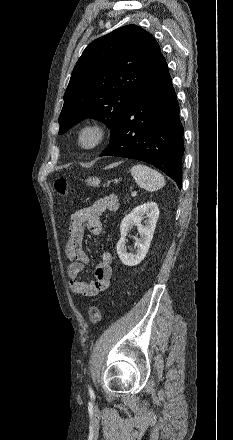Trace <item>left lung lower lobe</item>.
Segmentation results:
<instances>
[{
    "instance_id": "obj_1",
    "label": "left lung lower lobe",
    "mask_w": 233,
    "mask_h": 440,
    "mask_svg": "<svg viewBox=\"0 0 233 440\" xmlns=\"http://www.w3.org/2000/svg\"><path fill=\"white\" fill-rule=\"evenodd\" d=\"M167 63L160 56L128 105L120 129L100 156L141 160L181 188L184 129Z\"/></svg>"
}]
</instances>
